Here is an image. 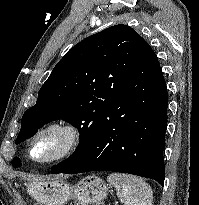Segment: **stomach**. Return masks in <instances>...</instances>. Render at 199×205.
I'll return each instance as SVG.
<instances>
[{
    "label": "stomach",
    "mask_w": 199,
    "mask_h": 205,
    "mask_svg": "<svg viewBox=\"0 0 199 205\" xmlns=\"http://www.w3.org/2000/svg\"><path fill=\"white\" fill-rule=\"evenodd\" d=\"M28 193L40 205H64L75 200L76 205L98 204L108 193V185L98 176L90 175L70 184L63 180H34Z\"/></svg>",
    "instance_id": "stomach-1"
}]
</instances>
